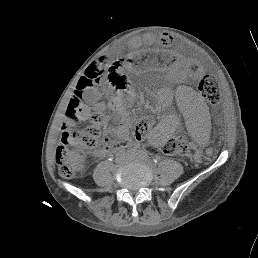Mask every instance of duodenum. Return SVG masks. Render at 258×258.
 <instances>
[{"mask_svg":"<svg viewBox=\"0 0 258 258\" xmlns=\"http://www.w3.org/2000/svg\"><path fill=\"white\" fill-rule=\"evenodd\" d=\"M122 150H123V149H120V150L118 151V153L121 152Z\"/></svg>","mask_w":258,"mask_h":258,"instance_id":"duodenum-1","label":"duodenum"}]
</instances>
